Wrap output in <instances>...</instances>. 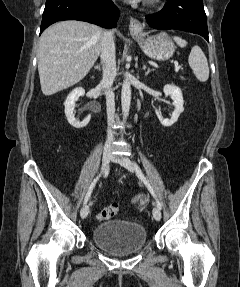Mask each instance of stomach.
I'll list each match as a JSON object with an SVG mask.
<instances>
[{
    "mask_svg": "<svg viewBox=\"0 0 240 287\" xmlns=\"http://www.w3.org/2000/svg\"><path fill=\"white\" fill-rule=\"evenodd\" d=\"M142 51L150 58L156 60H167L171 58L175 51V45L165 33L144 38L142 35L134 34Z\"/></svg>",
    "mask_w": 240,
    "mask_h": 287,
    "instance_id": "stomach-1",
    "label": "stomach"
}]
</instances>
